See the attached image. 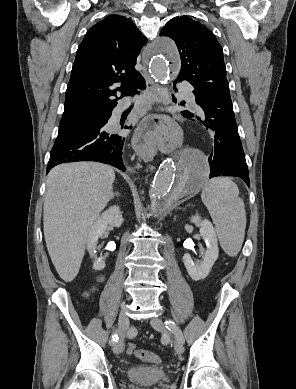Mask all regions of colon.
<instances>
[{
    "label": "colon",
    "instance_id": "5ec220e1",
    "mask_svg": "<svg viewBox=\"0 0 296 389\" xmlns=\"http://www.w3.org/2000/svg\"><path fill=\"white\" fill-rule=\"evenodd\" d=\"M127 353L148 363H158L160 361V358L156 353L149 350L137 348L136 345L133 343H130L128 345Z\"/></svg>",
    "mask_w": 296,
    "mask_h": 389
}]
</instances>
